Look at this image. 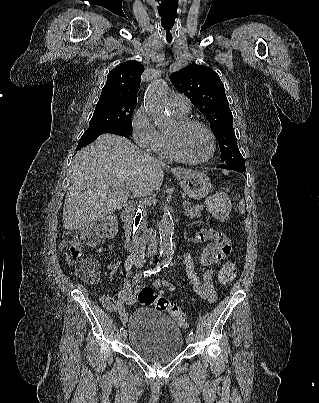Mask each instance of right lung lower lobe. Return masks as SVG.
<instances>
[{"mask_svg": "<svg viewBox=\"0 0 319 403\" xmlns=\"http://www.w3.org/2000/svg\"><path fill=\"white\" fill-rule=\"evenodd\" d=\"M104 133H112V134L125 136V137H128V135H130V133H128L127 131H125L124 129L119 128V127L89 128L88 130H86L84 132V134L80 138L78 146H77V150H79V149L83 148L84 146L90 144L91 142L96 140V138L99 135L104 134Z\"/></svg>", "mask_w": 319, "mask_h": 403, "instance_id": "right-lung-lower-lobe-1", "label": "right lung lower lobe"}]
</instances>
